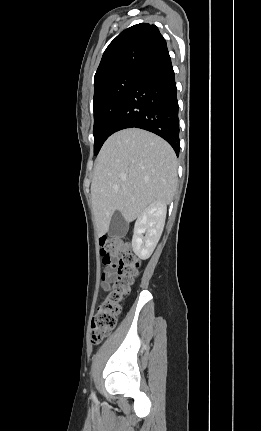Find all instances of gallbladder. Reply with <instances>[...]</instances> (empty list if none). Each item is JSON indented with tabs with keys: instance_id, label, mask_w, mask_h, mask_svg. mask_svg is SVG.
I'll return each mask as SVG.
<instances>
[{
	"instance_id": "gallbladder-1",
	"label": "gallbladder",
	"mask_w": 261,
	"mask_h": 431,
	"mask_svg": "<svg viewBox=\"0 0 261 431\" xmlns=\"http://www.w3.org/2000/svg\"><path fill=\"white\" fill-rule=\"evenodd\" d=\"M127 230L128 223L123 218L122 214L116 211L111 218L108 235L113 238L121 237L126 234Z\"/></svg>"
}]
</instances>
